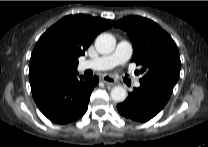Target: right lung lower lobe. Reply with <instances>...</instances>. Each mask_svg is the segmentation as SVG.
<instances>
[{
	"mask_svg": "<svg viewBox=\"0 0 208 147\" xmlns=\"http://www.w3.org/2000/svg\"><path fill=\"white\" fill-rule=\"evenodd\" d=\"M99 78H70L41 85L32 90L33 98L41 112L52 122L67 124L84 115L90 95Z\"/></svg>",
	"mask_w": 208,
	"mask_h": 147,
	"instance_id": "right-lung-lower-lobe-1",
	"label": "right lung lower lobe"
}]
</instances>
